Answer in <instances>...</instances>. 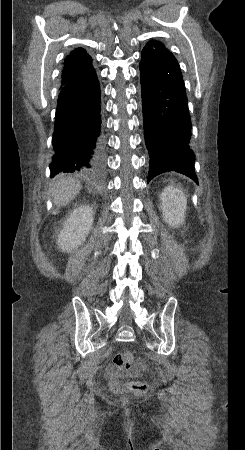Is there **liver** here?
<instances>
[{"label": "liver", "instance_id": "obj_1", "mask_svg": "<svg viewBox=\"0 0 245 450\" xmlns=\"http://www.w3.org/2000/svg\"><path fill=\"white\" fill-rule=\"evenodd\" d=\"M80 190V182L71 177H62L57 179L51 189V193L54 203L60 208L72 201L79 194Z\"/></svg>", "mask_w": 245, "mask_h": 450}]
</instances>
